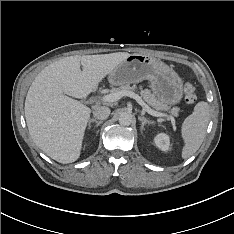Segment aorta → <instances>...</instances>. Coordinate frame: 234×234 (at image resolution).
I'll return each instance as SVG.
<instances>
[{"mask_svg": "<svg viewBox=\"0 0 234 234\" xmlns=\"http://www.w3.org/2000/svg\"><path fill=\"white\" fill-rule=\"evenodd\" d=\"M118 120L120 125L129 126L133 122V117L128 112H121Z\"/></svg>", "mask_w": 234, "mask_h": 234, "instance_id": "762f6f07", "label": "aorta"}]
</instances>
